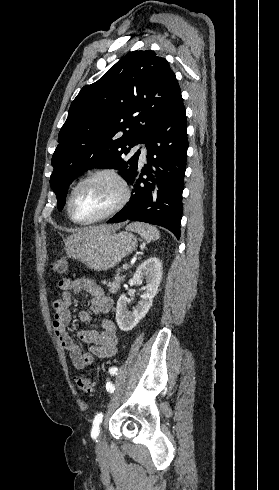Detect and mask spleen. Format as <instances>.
Returning a JSON list of instances; mask_svg holds the SVG:
<instances>
[{"label": "spleen", "mask_w": 279, "mask_h": 490, "mask_svg": "<svg viewBox=\"0 0 279 490\" xmlns=\"http://www.w3.org/2000/svg\"><path fill=\"white\" fill-rule=\"evenodd\" d=\"M126 230H132V232H137L140 234L141 238L147 240V242H151V240H158L159 232L154 228V226H149V224H142V222H133V224H129Z\"/></svg>", "instance_id": "3e777b00"}]
</instances>
